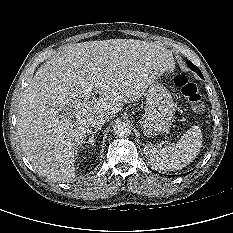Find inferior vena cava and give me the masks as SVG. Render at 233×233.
I'll use <instances>...</instances> for the list:
<instances>
[{
    "label": "inferior vena cava",
    "instance_id": "inferior-vena-cava-1",
    "mask_svg": "<svg viewBox=\"0 0 233 233\" xmlns=\"http://www.w3.org/2000/svg\"><path fill=\"white\" fill-rule=\"evenodd\" d=\"M106 117L103 115V114H100V113H96V114H93L90 118H89V124L92 126V127H101L103 125V123L106 122Z\"/></svg>",
    "mask_w": 233,
    "mask_h": 233
}]
</instances>
